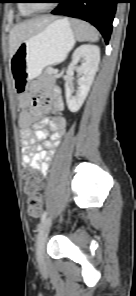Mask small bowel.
<instances>
[{"instance_id":"small-bowel-1","label":"small bowel","mask_w":136,"mask_h":296,"mask_svg":"<svg viewBox=\"0 0 136 296\" xmlns=\"http://www.w3.org/2000/svg\"><path fill=\"white\" fill-rule=\"evenodd\" d=\"M20 105L22 111L18 123L23 142L22 164L46 176L54 150L66 130V119L60 114L64 107L60 91L57 87H50L38 98L23 95ZM48 112L51 113L49 117H42ZM43 140L44 143L40 144Z\"/></svg>"}]
</instances>
